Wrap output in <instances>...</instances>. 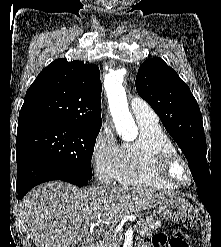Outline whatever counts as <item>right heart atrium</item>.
Masks as SVG:
<instances>
[{"mask_svg": "<svg viewBox=\"0 0 221 247\" xmlns=\"http://www.w3.org/2000/svg\"><path fill=\"white\" fill-rule=\"evenodd\" d=\"M120 146L109 128H103L98 133L92 147V164L97 178L103 183L115 179Z\"/></svg>", "mask_w": 221, "mask_h": 247, "instance_id": "right-heart-atrium-1", "label": "right heart atrium"}]
</instances>
